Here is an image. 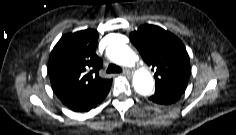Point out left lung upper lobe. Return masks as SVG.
<instances>
[{
	"label": "left lung upper lobe",
	"instance_id": "obj_1",
	"mask_svg": "<svg viewBox=\"0 0 236 135\" xmlns=\"http://www.w3.org/2000/svg\"><path fill=\"white\" fill-rule=\"evenodd\" d=\"M130 39L143 60L155 70L156 87L188 83L189 56L175 35L158 26L145 24L131 32Z\"/></svg>",
	"mask_w": 236,
	"mask_h": 135
}]
</instances>
